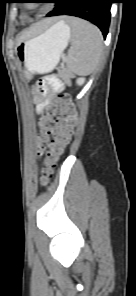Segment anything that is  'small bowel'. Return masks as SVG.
<instances>
[{
	"instance_id": "1",
	"label": "small bowel",
	"mask_w": 136,
	"mask_h": 296,
	"mask_svg": "<svg viewBox=\"0 0 136 296\" xmlns=\"http://www.w3.org/2000/svg\"><path fill=\"white\" fill-rule=\"evenodd\" d=\"M63 88L62 83L54 79L52 81L46 78L42 79L38 84V106L37 111L40 113L42 109L51 101V99L57 96Z\"/></svg>"
}]
</instances>
